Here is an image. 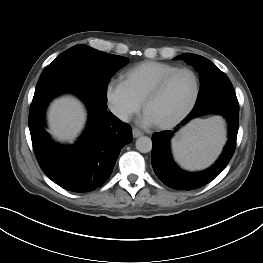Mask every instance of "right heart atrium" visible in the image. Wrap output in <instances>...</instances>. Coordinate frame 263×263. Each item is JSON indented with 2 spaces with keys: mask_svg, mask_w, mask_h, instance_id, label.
<instances>
[{
  "mask_svg": "<svg viewBox=\"0 0 263 263\" xmlns=\"http://www.w3.org/2000/svg\"><path fill=\"white\" fill-rule=\"evenodd\" d=\"M104 95L110 112L120 121H128L141 108V102L132 95L123 80H109Z\"/></svg>",
  "mask_w": 263,
  "mask_h": 263,
  "instance_id": "d8ad5b80",
  "label": "right heart atrium"
}]
</instances>
